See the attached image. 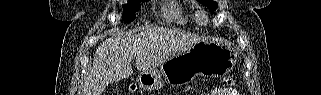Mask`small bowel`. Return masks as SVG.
Wrapping results in <instances>:
<instances>
[{
    "instance_id": "1",
    "label": "small bowel",
    "mask_w": 321,
    "mask_h": 95,
    "mask_svg": "<svg viewBox=\"0 0 321 95\" xmlns=\"http://www.w3.org/2000/svg\"><path fill=\"white\" fill-rule=\"evenodd\" d=\"M210 95H236V92L233 89H217L211 93H206Z\"/></svg>"
}]
</instances>
